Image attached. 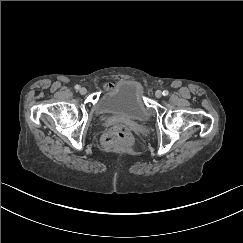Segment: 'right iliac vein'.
<instances>
[{"label":"right iliac vein","mask_w":243,"mask_h":243,"mask_svg":"<svg viewBox=\"0 0 243 243\" xmlns=\"http://www.w3.org/2000/svg\"><path fill=\"white\" fill-rule=\"evenodd\" d=\"M80 94L85 95L87 93V89L82 87L79 89Z\"/></svg>","instance_id":"obj_1"}]
</instances>
